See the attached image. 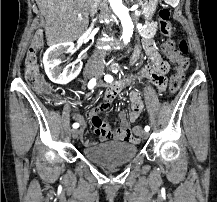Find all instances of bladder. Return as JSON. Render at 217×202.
<instances>
[{
    "mask_svg": "<svg viewBox=\"0 0 217 202\" xmlns=\"http://www.w3.org/2000/svg\"><path fill=\"white\" fill-rule=\"evenodd\" d=\"M86 158L103 166H115L130 162L138 155L137 146L133 143L109 142L84 148Z\"/></svg>",
    "mask_w": 217,
    "mask_h": 202,
    "instance_id": "obj_1",
    "label": "bladder"
}]
</instances>
